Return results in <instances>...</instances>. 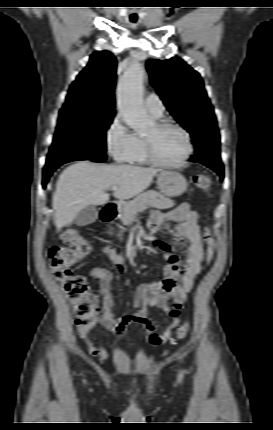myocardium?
<instances>
[{
	"label": "myocardium",
	"mask_w": 273,
	"mask_h": 430,
	"mask_svg": "<svg viewBox=\"0 0 273 430\" xmlns=\"http://www.w3.org/2000/svg\"><path fill=\"white\" fill-rule=\"evenodd\" d=\"M154 126L158 130H163L166 128H173V129L180 131L185 137L186 150H185V153L183 154V156L179 160L174 161V162H165V161L160 160L157 157L151 140L149 138L145 137L144 142H145V146H146V154H147L148 161L150 163H152L153 165H156L159 167H164V168H177V167H180L183 164H185L193 153V143H192L190 133L182 125L175 123V122H172V121H165V120L159 121V122H156L154 124Z\"/></svg>",
	"instance_id": "f54148a6"
}]
</instances>
